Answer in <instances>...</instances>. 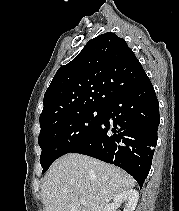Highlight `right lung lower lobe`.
I'll return each mask as SVG.
<instances>
[{"mask_svg": "<svg viewBox=\"0 0 179 211\" xmlns=\"http://www.w3.org/2000/svg\"><path fill=\"white\" fill-rule=\"evenodd\" d=\"M159 122V103L144 74L107 104L96 132L72 152L119 166L142 187L151 168Z\"/></svg>", "mask_w": 179, "mask_h": 211, "instance_id": "right-lung-lower-lobe-1", "label": "right lung lower lobe"}]
</instances>
